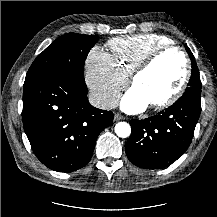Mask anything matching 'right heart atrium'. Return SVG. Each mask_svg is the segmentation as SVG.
I'll return each instance as SVG.
<instances>
[{
  "mask_svg": "<svg viewBox=\"0 0 217 217\" xmlns=\"http://www.w3.org/2000/svg\"><path fill=\"white\" fill-rule=\"evenodd\" d=\"M127 81L128 78L113 65L109 53L99 46L90 50L86 60V83L99 107H112Z\"/></svg>",
  "mask_w": 217,
  "mask_h": 217,
  "instance_id": "d8ad5b80",
  "label": "right heart atrium"
}]
</instances>
